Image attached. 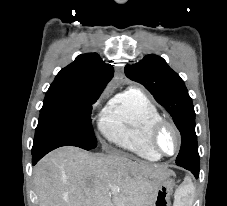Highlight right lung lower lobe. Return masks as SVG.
Listing matches in <instances>:
<instances>
[{
    "instance_id": "obj_1",
    "label": "right lung lower lobe",
    "mask_w": 227,
    "mask_h": 206,
    "mask_svg": "<svg viewBox=\"0 0 227 206\" xmlns=\"http://www.w3.org/2000/svg\"><path fill=\"white\" fill-rule=\"evenodd\" d=\"M58 147H60L59 144L48 143L39 146L38 148L32 149V164L35 165L44 155Z\"/></svg>"
}]
</instances>
